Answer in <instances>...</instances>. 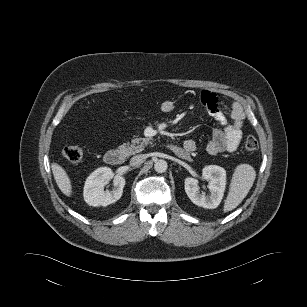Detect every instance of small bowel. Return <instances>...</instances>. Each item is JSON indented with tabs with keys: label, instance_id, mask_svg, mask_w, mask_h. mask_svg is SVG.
Masks as SVG:
<instances>
[{
	"label": "small bowel",
	"instance_id": "1",
	"mask_svg": "<svg viewBox=\"0 0 307 307\" xmlns=\"http://www.w3.org/2000/svg\"><path fill=\"white\" fill-rule=\"evenodd\" d=\"M201 98L209 115L220 125L206 144V151L210 155L235 151L242 139V125L245 118L242 105L238 101L231 102L230 118L232 122L228 123L215 94L204 92ZM174 108V102L170 100L161 104V110L165 113L172 112ZM196 148V142L192 139L186 140L182 146H174L175 153L181 157L189 156Z\"/></svg>",
	"mask_w": 307,
	"mask_h": 307
}]
</instances>
